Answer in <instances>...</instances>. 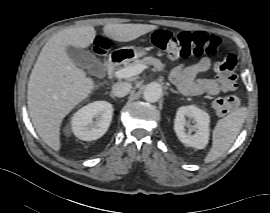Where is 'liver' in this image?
<instances>
[{
  "label": "liver",
  "instance_id": "6515ba94",
  "mask_svg": "<svg viewBox=\"0 0 270 213\" xmlns=\"http://www.w3.org/2000/svg\"><path fill=\"white\" fill-rule=\"evenodd\" d=\"M156 28L148 24H108L103 31L109 39L128 42ZM95 36L92 26L67 28L54 34L31 72L27 90L29 115L38 135L55 151L61 148L60 127L65 116L97 89L94 80L70 59L66 47H89Z\"/></svg>",
  "mask_w": 270,
  "mask_h": 213
}]
</instances>
